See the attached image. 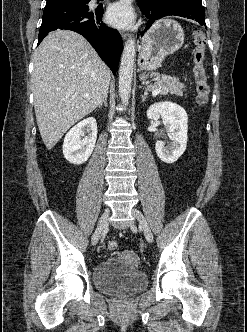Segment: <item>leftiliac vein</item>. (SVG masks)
I'll use <instances>...</instances> for the list:
<instances>
[{
  "instance_id": "left-iliac-vein-1",
  "label": "left iliac vein",
  "mask_w": 247,
  "mask_h": 332,
  "mask_svg": "<svg viewBox=\"0 0 247 332\" xmlns=\"http://www.w3.org/2000/svg\"><path fill=\"white\" fill-rule=\"evenodd\" d=\"M132 215L138 220V222L140 223L145 238L147 239L148 242H153V234L151 229L148 226V223L144 217V215L142 214L141 211H139L138 209H132Z\"/></svg>"
}]
</instances>
